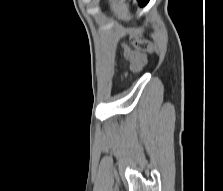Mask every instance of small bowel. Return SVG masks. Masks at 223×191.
<instances>
[{
	"label": "small bowel",
	"instance_id": "small-bowel-1",
	"mask_svg": "<svg viewBox=\"0 0 223 191\" xmlns=\"http://www.w3.org/2000/svg\"><path fill=\"white\" fill-rule=\"evenodd\" d=\"M124 56L130 61L134 71L140 70L146 61V58L141 53L133 51L127 47H125Z\"/></svg>",
	"mask_w": 223,
	"mask_h": 191
}]
</instances>
